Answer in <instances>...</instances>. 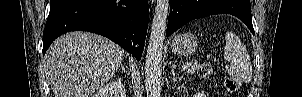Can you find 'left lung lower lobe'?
I'll list each match as a JSON object with an SVG mask.
<instances>
[{
  "instance_id": "1",
  "label": "left lung lower lobe",
  "mask_w": 302,
  "mask_h": 97,
  "mask_svg": "<svg viewBox=\"0 0 302 97\" xmlns=\"http://www.w3.org/2000/svg\"><path fill=\"white\" fill-rule=\"evenodd\" d=\"M221 13L238 17L254 34L250 0H171L166 36L193 19Z\"/></svg>"
}]
</instances>
